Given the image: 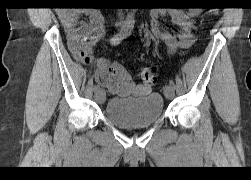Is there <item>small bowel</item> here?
Listing matches in <instances>:
<instances>
[{
    "label": "small bowel",
    "mask_w": 251,
    "mask_h": 180,
    "mask_svg": "<svg viewBox=\"0 0 251 180\" xmlns=\"http://www.w3.org/2000/svg\"><path fill=\"white\" fill-rule=\"evenodd\" d=\"M196 10L185 12L180 9H157L151 13V31L161 41L167 53L178 49H188L194 40V17ZM85 16L87 19H81ZM170 16L179 27L177 34H172L161 25V20ZM61 22L67 36L69 50L73 56L84 64L94 63L97 83L115 95L126 97L146 96L151 88L135 84L129 72L119 64H111L108 59L95 60L92 49L95 43L105 35L106 18L98 10L82 9L67 11L61 14Z\"/></svg>",
    "instance_id": "1"
}]
</instances>
